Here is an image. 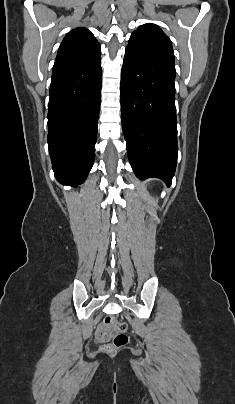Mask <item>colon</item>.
I'll use <instances>...</instances> for the list:
<instances>
[{
    "label": "colon",
    "instance_id": "colon-1",
    "mask_svg": "<svg viewBox=\"0 0 235 404\" xmlns=\"http://www.w3.org/2000/svg\"><path fill=\"white\" fill-rule=\"evenodd\" d=\"M126 330L127 325L124 322L113 315H107L104 318V328H100L96 332V339L98 342L105 343L106 351H114L128 344L129 336L126 334ZM113 331H118V333L113 337L111 343H107L111 339Z\"/></svg>",
    "mask_w": 235,
    "mask_h": 404
}]
</instances>
